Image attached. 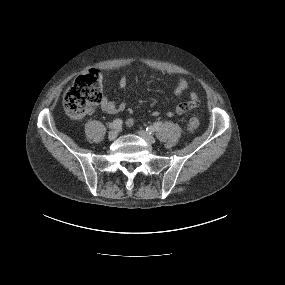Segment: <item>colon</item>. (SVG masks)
I'll return each mask as SVG.
<instances>
[{"label":"colon","mask_w":285,"mask_h":285,"mask_svg":"<svg viewBox=\"0 0 285 285\" xmlns=\"http://www.w3.org/2000/svg\"><path fill=\"white\" fill-rule=\"evenodd\" d=\"M102 99V74L95 69L87 70L80 75L64 100L66 113L73 120H80L90 113ZM199 126V120L191 117L186 123L187 131H194Z\"/></svg>","instance_id":"5ec220e1"}]
</instances>
